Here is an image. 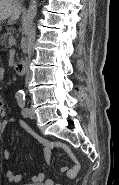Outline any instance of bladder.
<instances>
[{
  "instance_id": "bladder-1",
  "label": "bladder",
  "mask_w": 119,
  "mask_h": 185,
  "mask_svg": "<svg viewBox=\"0 0 119 185\" xmlns=\"http://www.w3.org/2000/svg\"><path fill=\"white\" fill-rule=\"evenodd\" d=\"M24 185H39V184H36V183H29V184H24Z\"/></svg>"
}]
</instances>
